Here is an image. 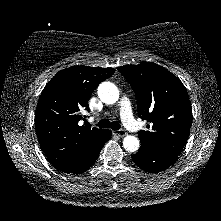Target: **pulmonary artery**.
<instances>
[{
  "mask_svg": "<svg viewBox=\"0 0 221 221\" xmlns=\"http://www.w3.org/2000/svg\"><path fill=\"white\" fill-rule=\"evenodd\" d=\"M119 106H120L121 119L125 127L133 132L139 131L140 125L133 117L130 101L128 100V98L122 97L119 102Z\"/></svg>",
  "mask_w": 221,
  "mask_h": 221,
  "instance_id": "obj_1",
  "label": "pulmonary artery"
}]
</instances>
